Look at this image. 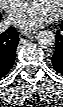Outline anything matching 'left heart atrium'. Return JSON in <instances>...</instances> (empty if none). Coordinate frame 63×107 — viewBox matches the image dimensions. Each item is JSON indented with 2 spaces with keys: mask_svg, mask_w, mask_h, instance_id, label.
Masks as SVG:
<instances>
[{
  "mask_svg": "<svg viewBox=\"0 0 63 107\" xmlns=\"http://www.w3.org/2000/svg\"><path fill=\"white\" fill-rule=\"evenodd\" d=\"M51 17L50 13L39 6L27 3L14 12L11 22L25 29H32L47 23Z\"/></svg>",
  "mask_w": 63,
  "mask_h": 107,
  "instance_id": "left-heart-atrium-1",
  "label": "left heart atrium"
}]
</instances>
